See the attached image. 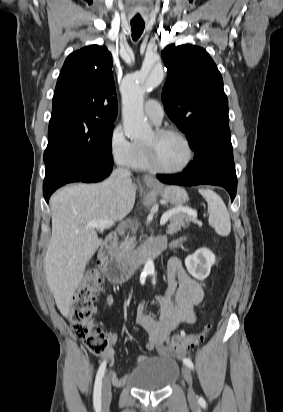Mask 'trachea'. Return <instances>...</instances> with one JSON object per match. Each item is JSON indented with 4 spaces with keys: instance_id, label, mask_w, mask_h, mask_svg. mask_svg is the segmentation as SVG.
<instances>
[{
    "instance_id": "3493384b",
    "label": "trachea",
    "mask_w": 283,
    "mask_h": 412,
    "mask_svg": "<svg viewBox=\"0 0 283 412\" xmlns=\"http://www.w3.org/2000/svg\"><path fill=\"white\" fill-rule=\"evenodd\" d=\"M144 23L143 22H131L132 28V38L134 41H137L138 38L141 36L144 30Z\"/></svg>"
}]
</instances>
